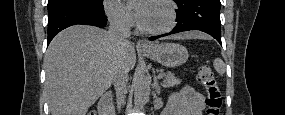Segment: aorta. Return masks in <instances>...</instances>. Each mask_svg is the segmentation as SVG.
<instances>
[{
  "label": "aorta",
  "instance_id": "obj_1",
  "mask_svg": "<svg viewBox=\"0 0 285 115\" xmlns=\"http://www.w3.org/2000/svg\"><path fill=\"white\" fill-rule=\"evenodd\" d=\"M150 81L144 73H139L135 79L134 104L136 108H143L149 100Z\"/></svg>",
  "mask_w": 285,
  "mask_h": 115
}]
</instances>
